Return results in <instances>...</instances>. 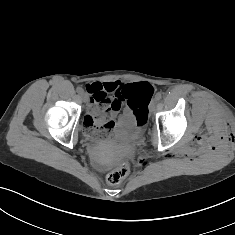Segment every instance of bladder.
<instances>
[{"instance_id":"1","label":"bladder","mask_w":235,"mask_h":235,"mask_svg":"<svg viewBox=\"0 0 235 235\" xmlns=\"http://www.w3.org/2000/svg\"><path fill=\"white\" fill-rule=\"evenodd\" d=\"M114 135L124 141H133L142 135V129L131 117H122L116 121Z\"/></svg>"}]
</instances>
